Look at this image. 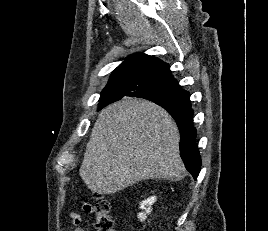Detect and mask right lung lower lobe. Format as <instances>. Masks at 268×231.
Masks as SVG:
<instances>
[{"label":"right lung lower lobe","instance_id":"1","mask_svg":"<svg viewBox=\"0 0 268 231\" xmlns=\"http://www.w3.org/2000/svg\"><path fill=\"white\" fill-rule=\"evenodd\" d=\"M129 96H132L131 93ZM176 121L180 131V155L194 179L199 175L201 159L196 143V129L192 124L193 109L188 106H164Z\"/></svg>","mask_w":268,"mask_h":231}]
</instances>
